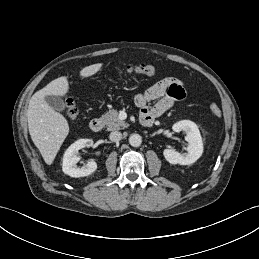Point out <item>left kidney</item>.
Listing matches in <instances>:
<instances>
[{
	"instance_id": "obj_1",
	"label": "left kidney",
	"mask_w": 259,
	"mask_h": 259,
	"mask_svg": "<svg viewBox=\"0 0 259 259\" xmlns=\"http://www.w3.org/2000/svg\"><path fill=\"white\" fill-rule=\"evenodd\" d=\"M172 129L174 132L184 131L188 142L187 153H179L172 149H165L163 155L171 164L190 165L197 161L203 153V142L198 126L190 120L176 122Z\"/></svg>"
}]
</instances>
